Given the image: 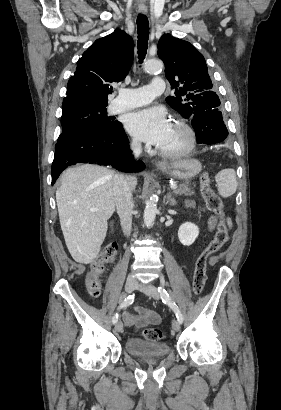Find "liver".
Instances as JSON below:
<instances>
[{
	"label": "liver",
	"instance_id": "liver-1",
	"mask_svg": "<svg viewBox=\"0 0 281 410\" xmlns=\"http://www.w3.org/2000/svg\"><path fill=\"white\" fill-rule=\"evenodd\" d=\"M116 173L106 167L83 164L67 169L56 191L60 225L72 258L91 263L106 237L108 219L115 211L113 181ZM134 190L137 179L130 176ZM98 208V211H91Z\"/></svg>",
	"mask_w": 281,
	"mask_h": 410
}]
</instances>
